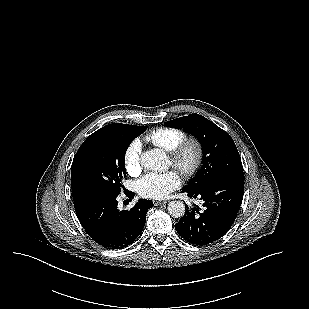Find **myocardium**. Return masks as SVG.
Wrapping results in <instances>:
<instances>
[{
  "instance_id": "myocardium-1",
  "label": "myocardium",
  "mask_w": 309,
  "mask_h": 309,
  "mask_svg": "<svg viewBox=\"0 0 309 309\" xmlns=\"http://www.w3.org/2000/svg\"><path fill=\"white\" fill-rule=\"evenodd\" d=\"M192 152V158L187 159ZM171 165L184 177H191L200 169L204 159L202 143L194 137H186L171 152H169Z\"/></svg>"
}]
</instances>
